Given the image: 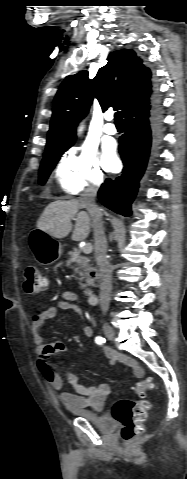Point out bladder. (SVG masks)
<instances>
[{"label":"bladder","instance_id":"1","mask_svg":"<svg viewBox=\"0 0 187 479\" xmlns=\"http://www.w3.org/2000/svg\"><path fill=\"white\" fill-rule=\"evenodd\" d=\"M77 415L90 421L101 432L108 433L115 428V422L106 416L96 415L87 411H77Z\"/></svg>","mask_w":187,"mask_h":479}]
</instances>
